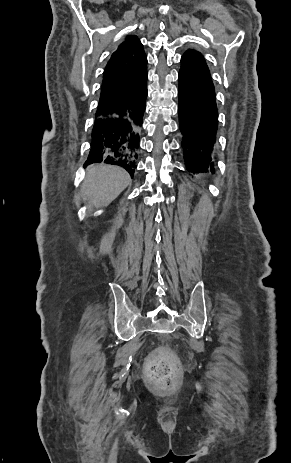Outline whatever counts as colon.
Wrapping results in <instances>:
<instances>
[{"instance_id": "1", "label": "colon", "mask_w": 291, "mask_h": 463, "mask_svg": "<svg viewBox=\"0 0 291 463\" xmlns=\"http://www.w3.org/2000/svg\"><path fill=\"white\" fill-rule=\"evenodd\" d=\"M148 375L155 385L166 390L173 386L177 369L170 357L154 354L148 360Z\"/></svg>"}]
</instances>
